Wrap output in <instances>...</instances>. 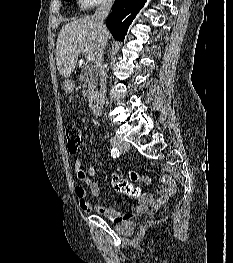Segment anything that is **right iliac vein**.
<instances>
[{"label":"right iliac vein","instance_id":"right-iliac-vein-1","mask_svg":"<svg viewBox=\"0 0 233 263\" xmlns=\"http://www.w3.org/2000/svg\"><path fill=\"white\" fill-rule=\"evenodd\" d=\"M110 142L114 147L118 148L121 151H128L130 149V144L120 139L111 138Z\"/></svg>","mask_w":233,"mask_h":263}]
</instances>
